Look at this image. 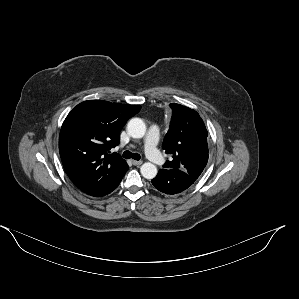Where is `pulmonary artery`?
Returning a JSON list of instances; mask_svg holds the SVG:
<instances>
[{"label":"pulmonary artery","instance_id":"obj_1","mask_svg":"<svg viewBox=\"0 0 299 299\" xmlns=\"http://www.w3.org/2000/svg\"><path fill=\"white\" fill-rule=\"evenodd\" d=\"M159 135L160 131L158 126L153 125L149 128L144 141L146 156L152 163L157 165L163 164L165 161L163 155L157 149Z\"/></svg>","mask_w":299,"mask_h":299}]
</instances>
